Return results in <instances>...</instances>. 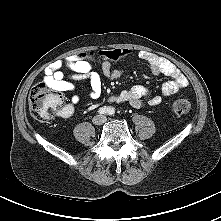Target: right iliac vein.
<instances>
[{"label": "right iliac vein", "mask_w": 221, "mask_h": 221, "mask_svg": "<svg viewBox=\"0 0 221 221\" xmlns=\"http://www.w3.org/2000/svg\"><path fill=\"white\" fill-rule=\"evenodd\" d=\"M95 121H96V123H99V122H100V119H99V118H97V119H95Z\"/></svg>", "instance_id": "right-iliac-vein-1"}]
</instances>
